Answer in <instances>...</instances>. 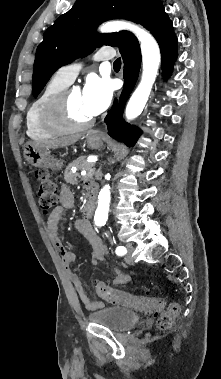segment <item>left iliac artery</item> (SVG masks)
Listing matches in <instances>:
<instances>
[{
  "label": "left iliac artery",
  "mask_w": 221,
  "mask_h": 379,
  "mask_svg": "<svg viewBox=\"0 0 221 379\" xmlns=\"http://www.w3.org/2000/svg\"><path fill=\"white\" fill-rule=\"evenodd\" d=\"M116 254L119 256H123L127 253V249L124 246H118L115 250Z\"/></svg>",
  "instance_id": "obj_1"
}]
</instances>
